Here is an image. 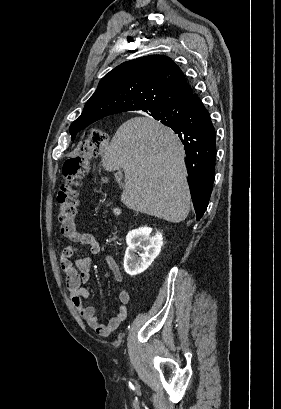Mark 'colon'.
Here are the masks:
<instances>
[{
    "label": "colon",
    "instance_id": "1",
    "mask_svg": "<svg viewBox=\"0 0 281 409\" xmlns=\"http://www.w3.org/2000/svg\"><path fill=\"white\" fill-rule=\"evenodd\" d=\"M109 143L105 129L94 128L90 132L78 155L69 157L63 164L61 175L63 183L57 193L58 217L62 232L72 230L78 207V187L81 173L86 169L91 157L103 155Z\"/></svg>",
    "mask_w": 281,
    "mask_h": 409
}]
</instances>
